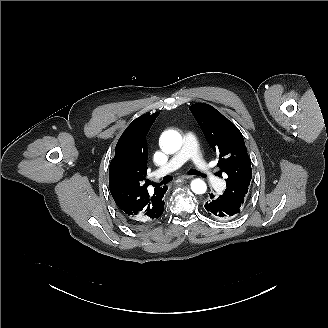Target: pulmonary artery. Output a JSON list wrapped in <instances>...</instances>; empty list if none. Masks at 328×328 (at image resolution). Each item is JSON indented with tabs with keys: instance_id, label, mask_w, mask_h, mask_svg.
<instances>
[{
	"instance_id": "e3ab8cb5",
	"label": "pulmonary artery",
	"mask_w": 328,
	"mask_h": 328,
	"mask_svg": "<svg viewBox=\"0 0 328 328\" xmlns=\"http://www.w3.org/2000/svg\"><path fill=\"white\" fill-rule=\"evenodd\" d=\"M184 139L187 143L182 147V150H179L173 158V166L176 169H183L186 166V163L191 157L194 164L198 165L200 171L206 177L209 183L216 184L220 180V174L211 165L210 161L206 159L205 154L201 149L198 148L200 144V137L197 134H192L191 132L184 133ZM171 169V164H167L163 167V172H168Z\"/></svg>"
}]
</instances>
